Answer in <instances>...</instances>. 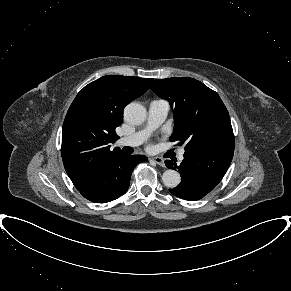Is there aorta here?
<instances>
[{"mask_svg":"<svg viewBox=\"0 0 291 291\" xmlns=\"http://www.w3.org/2000/svg\"><path fill=\"white\" fill-rule=\"evenodd\" d=\"M146 115V108L137 102L129 103L124 109V119L131 124H142ZM162 181L165 186L174 188L179 185L181 177L177 171L168 169L163 173Z\"/></svg>","mask_w":291,"mask_h":291,"instance_id":"1","label":"aorta"}]
</instances>
